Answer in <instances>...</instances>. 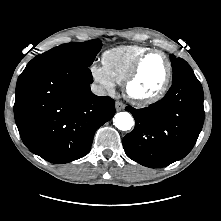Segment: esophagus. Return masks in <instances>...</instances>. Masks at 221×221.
I'll return each mask as SVG.
<instances>
[{
  "mask_svg": "<svg viewBox=\"0 0 221 221\" xmlns=\"http://www.w3.org/2000/svg\"><path fill=\"white\" fill-rule=\"evenodd\" d=\"M115 108H116V111H121L125 108V104L121 101H116Z\"/></svg>",
  "mask_w": 221,
  "mask_h": 221,
  "instance_id": "34e87169",
  "label": "esophagus"
}]
</instances>
